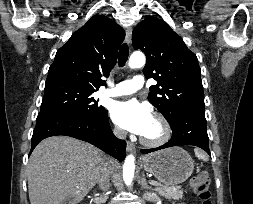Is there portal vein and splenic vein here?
<instances>
[{"instance_id": "obj_1", "label": "portal vein and splenic vein", "mask_w": 253, "mask_h": 204, "mask_svg": "<svg viewBox=\"0 0 253 204\" xmlns=\"http://www.w3.org/2000/svg\"><path fill=\"white\" fill-rule=\"evenodd\" d=\"M149 184H151V185H153V186H160V185H161L160 183H158V182H156V181H154V180H150V181H149Z\"/></svg>"}]
</instances>
